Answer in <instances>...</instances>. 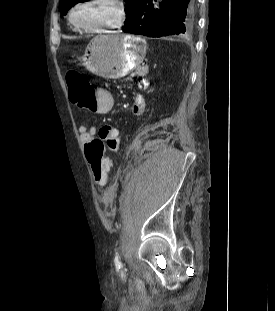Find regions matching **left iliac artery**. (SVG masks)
<instances>
[{
	"label": "left iliac artery",
	"mask_w": 275,
	"mask_h": 311,
	"mask_svg": "<svg viewBox=\"0 0 275 311\" xmlns=\"http://www.w3.org/2000/svg\"><path fill=\"white\" fill-rule=\"evenodd\" d=\"M118 260H119V256H116V257H115V261H118Z\"/></svg>",
	"instance_id": "1"
}]
</instances>
